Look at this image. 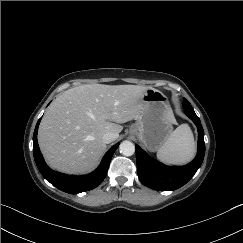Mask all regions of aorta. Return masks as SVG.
<instances>
[{"label": "aorta", "mask_w": 243, "mask_h": 243, "mask_svg": "<svg viewBox=\"0 0 243 243\" xmlns=\"http://www.w3.org/2000/svg\"><path fill=\"white\" fill-rule=\"evenodd\" d=\"M120 153L131 156L135 153V145L131 141H123L119 146Z\"/></svg>", "instance_id": "obj_1"}]
</instances>
